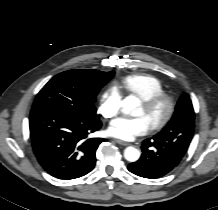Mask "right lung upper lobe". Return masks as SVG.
<instances>
[{"instance_id":"obj_1","label":"right lung upper lobe","mask_w":218,"mask_h":210,"mask_svg":"<svg viewBox=\"0 0 218 210\" xmlns=\"http://www.w3.org/2000/svg\"><path fill=\"white\" fill-rule=\"evenodd\" d=\"M70 72L77 73V74H80V75H83L86 77H90V78H104V77H108V76H111L112 74H114L113 71L102 72V71L92 70V69H88V70L75 69V70H70Z\"/></svg>"}]
</instances>
